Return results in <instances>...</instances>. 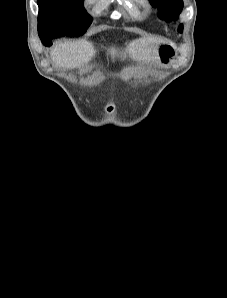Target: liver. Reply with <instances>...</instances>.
I'll list each match as a JSON object with an SVG mask.
<instances>
[{"label": "liver", "instance_id": "obj_1", "mask_svg": "<svg viewBox=\"0 0 227 298\" xmlns=\"http://www.w3.org/2000/svg\"><path fill=\"white\" fill-rule=\"evenodd\" d=\"M163 42V39L160 38L143 37L132 41L123 53L118 52L115 48H111L109 52L112 58L119 54L125 58L128 54L133 60L139 62H154L158 59L157 47ZM94 55L93 44L86 40L59 43L51 51L52 62L64 69L81 67L88 63Z\"/></svg>", "mask_w": 227, "mask_h": 298}]
</instances>
